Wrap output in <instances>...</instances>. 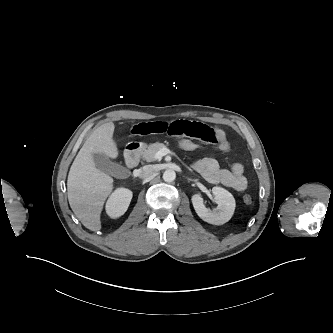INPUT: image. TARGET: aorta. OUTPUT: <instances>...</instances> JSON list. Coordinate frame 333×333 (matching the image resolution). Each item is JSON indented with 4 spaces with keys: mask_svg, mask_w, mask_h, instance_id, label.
Segmentation results:
<instances>
[{
    "mask_svg": "<svg viewBox=\"0 0 333 333\" xmlns=\"http://www.w3.org/2000/svg\"><path fill=\"white\" fill-rule=\"evenodd\" d=\"M175 178H176V173H175L174 170L167 169V170L164 171V173H163V180L165 182H169V183L173 182L175 180Z\"/></svg>",
    "mask_w": 333,
    "mask_h": 333,
    "instance_id": "obj_1",
    "label": "aorta"
}]
</instances>
